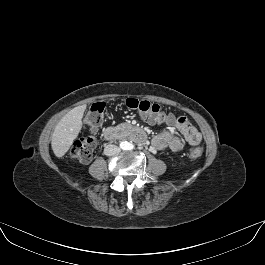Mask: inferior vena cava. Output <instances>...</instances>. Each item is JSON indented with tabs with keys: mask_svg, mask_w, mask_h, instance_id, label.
<instances>
[{
	"mask_svg": "<svg viewBox=\"0 0 265 265\" xmlns=\"http://www.w3.org/2000/svg\"><path fill=\"white\" fill-rule=\"evenodd\" d=\"M121 151V149L116 146V145H112V144H108L105 146L104 148V154L106 156H113L118 154Z\"/></svg>",
	"mask_w": 265,
	"mask_h": 265,
	"instance_id": "1",
	"label": "inferior vena cava"
}]
</instances>
